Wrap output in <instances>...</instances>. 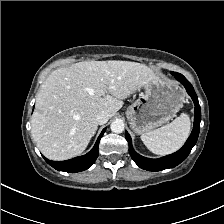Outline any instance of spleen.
<instances>
[{
    "instance_id": "3e777b00",
    "label": "spleen",
    "mask_w": 224,
    "mask_h": 224,
    "mask_svg": "<svg viewBox=\"0 0 224 224\" xmlns=\"http://www.w3.org/2000/svg\"><path fill=\"white\" fill-rule=\"evenodd\" d=\"M190 129V118L186 113H182L170 124L142 134L141 140L152 153L167 155L182 147L190 134Z\"/></svg>"
}]
</instances>
